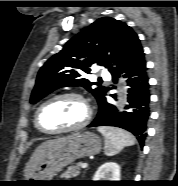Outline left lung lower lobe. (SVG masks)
<instances>
[{"mask_svg": "<svg viewBox=\"0 0 178 186\" xmlns=\"http://www.w3.org/2000/svg\"><path fill=\"white\" fill-rule=\"evenodd\" d=\"M146 70V61L144 54H142L119 73L112 75L115 82L122 73L124 74L123 77L127 79L129 104L125 107V111L118 112L114 105L107 102L105 93L99 103V112L89 127L115 126L123 128L133 133L140 145L143 146L147 121L150 116L149 78Z\"/></svg>", "mask_w": 178, "mask_h": 186, "instance_id": "1", "label": "left lung lower lobe"}]
</instances>
